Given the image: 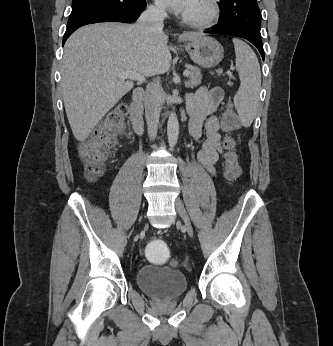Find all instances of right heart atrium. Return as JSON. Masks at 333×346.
<instances>
[{"instance_id":"obj_1","label":"right heart atrium","mask_w":333,"mask_h":346,"mask_svg":"<svg viewBox=\"0 0 333 346\" xmlns=\"http://www.w3.org/2000/svg\"><path fill=\"white\" fill-rule=\"evenodd\" d=\"M150 11L155 15H162L164 10L158 3H152L150 6Z\"/></svg>"}]
</instances>
